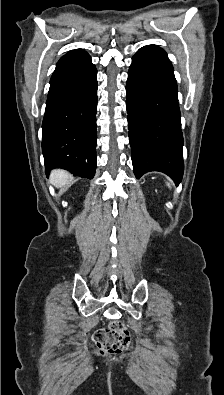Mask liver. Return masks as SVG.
Returning a JSON list of instances; mask_svg holds the SVG:
<instances>
[{"mask_svg":"<svg viewBox=\"0 0 224 395\" xmlns=\"http://www.w3.org/2000/svg\"><path fill=\"white\" fill-rule=\"evenodd\" d=\"M69 178L70 174L67 171L55 169L51 172L50 181L55 187L61 188L68 183Z\"/></svg>","mask_w":224,"mask_h":395,"instance_id":"6515ba94","label":"liver"}]
</instances>
